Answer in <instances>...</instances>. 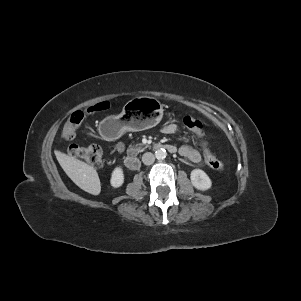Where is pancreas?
<instances>
[{
	"label": "pancreas",
	"mask_w": 301,
	"mask_h": 301,
	"mask_svg": "<svg viewBox=\"0 0 301 301\" xmlns=\"http://www.w3.org/2000/svg\"><path fill=\"white\" fill-rule=\"evenodd\" d=\"M144 150L143 144L142 143H137L134 145H130L129 148L127 149L128 154H137L139 152H142Z\"/></svg>",
	"instance_id": "pancreas-1"
}]
</instances>
